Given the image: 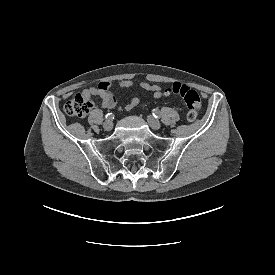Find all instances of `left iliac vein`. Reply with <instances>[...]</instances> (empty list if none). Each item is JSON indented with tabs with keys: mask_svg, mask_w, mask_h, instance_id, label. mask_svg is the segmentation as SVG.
Returning <instances> with one entry per match:
<instances>
[{
	"mask_svg": "<svg viewBox=\"0 0 275 275\" xmlns=\"http://www.w3.org/2000/svg\"><path fill=\"white\" fill-rule=\"evenodd\" d=\"M148 123L153 130H159L161 128L160 122L153 116L147 117Z\"/></svg>",
	"mask_w": 275,
	"mask_h": 275,
	"instance_id": "1",
	"label": "left iliac vein"
}]
</instances>
